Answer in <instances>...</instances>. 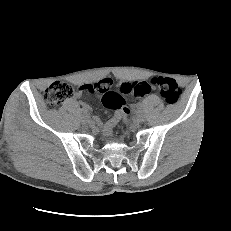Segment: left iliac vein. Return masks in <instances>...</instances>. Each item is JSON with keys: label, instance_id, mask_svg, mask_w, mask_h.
Segmentation results:
<instances>
[{"label": "left iliac vein", "instance_id": "left-iliac-vein-1", "mask_svg": "<svg viewBox=\"0 0 231 231\" xmlns=\"http://www.w3.org/2000/svg\"><path fill=\"white\" fill-rule=\"evenodd\" d=\"M136 118L140 123L145 121V115L142 112H138Z\"/></svg>", "mask_w": 231, "mask_h": 231}]
</instances>
